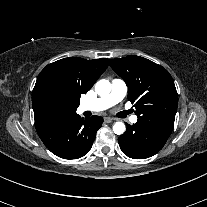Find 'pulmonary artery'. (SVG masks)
<instances>
[{"mask_svg":"<svg viewBox=\"0 0 207 207\" xmlns=\"http://www.w3.org/2000/svg\"><path fill=\"white\" fill-rule=\"evenodd\" d=\"M126 90L127 86L124 80L120 78L113 79L111 82V92L108 95L81 104L78 107V112H99L106 110L119 103L125 97ZM129 120L131 123H136L138 121V117L133 115L129 117Z\"/></svg>","mask_w":207,"mask_h":207,"instance_id":"pulmonary-artery-1","label":"pulmonary artery"}]
</instances>
